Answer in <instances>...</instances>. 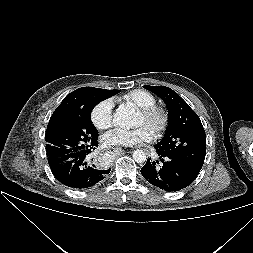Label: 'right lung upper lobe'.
Returning a JSON list of instances; mask_svg holds the SVG:
<instances>
[{
	"label": "right lung upper lobe",
	"mask_w": 253,
	"mask_h": 253,
	"mask_svg": "<svg viewBox=\"0 0 253 253\" xmlns=\"http://www.w3.org/2000/svg\"><path fill=\"white\" fill-rule=\"evenodd\" d=\"M79 89L71 92L69 95H67L64 100L62 101V103L57 107V109L54 111L55 113L56 112H59V111H62L63 109H65L67 107V103H69V100L76 94V92L78 91ZM106 90V89H105ZM107 91H113V90H107Z\"/></svg>",
	"instance_id": "cb5924a9"
}]
</instances>
